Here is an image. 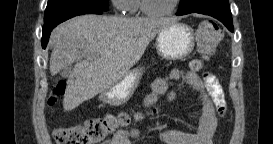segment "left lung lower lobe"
I'll use <instances>...</instances> for the list:
<instances>
[{
	"mask_svg": "<svg viewBox=\"0 0 273 144\" xmlns=\"http://www.w3.org/2000/svg\"><path fill=\"white\" fill-rule=\"evenodd\" d=\"M201 13L220 20L231 32L233 23L228 0H193V7L186 11H178L176 15Z\"/></svg>",
	"mask_w": 273,
	"mask_h": 144,
	"instance_id": "obj_1",
	"label": "left lung lower lobe"
}]
</instances>
